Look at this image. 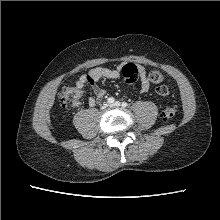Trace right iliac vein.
Masks as SVG:
<instances>
[{"label": "right iliac vein", "mask_w": 220, "mask_h": 220, "mask_svg": "<svg viewBox=\"0 0 220 220\" xmlns=\"http://www.w3.org/2000/svg\"><path fill=\"white\" fill-rule=\"evenodd\" d=\"M107 106H108L107 104H103V106H102V107H103V108H107Z\"/></svg>", "instance_id": "obj_1"}]
</instances>
